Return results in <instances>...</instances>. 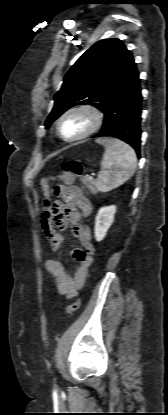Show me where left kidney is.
<instances>
[{"label":"left kidney","mask_w":168,"mask_h":415,"mask_svg":"<svg viewBox=\"0 0 168 415\" xmlns=\"http://www.w3.org/2000/svg\"><path fill=\"white\" fill-rule=\"evenodd\" d=\"M116 206H105L99 209L95 220V239L101 241L114 221Z\"/></svg>","instance_id":"5707ae66"}]
</instances>
